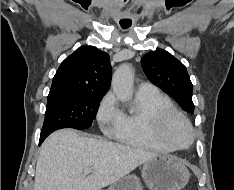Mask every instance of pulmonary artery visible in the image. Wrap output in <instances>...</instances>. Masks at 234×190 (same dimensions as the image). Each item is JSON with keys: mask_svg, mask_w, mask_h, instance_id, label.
Listing matches in <instances>:
<instances>
[{"mask_svg": "<svg viewBox=\"0 0 234 190\" xmlns=\"http://www.w3.org/2000/svg\"><path fill=\"white\" fill-rule=\"evenodd\" d=\"M155 90H156L155 86H153L150 83L143 82L139 85L137 93H150V92H153Z\"/></svg>", "mask_w": 234, "mask_h": 190, "instance_id": "pulmonary-artery-1", "label": "pulmonary artery"}]
</instances>
